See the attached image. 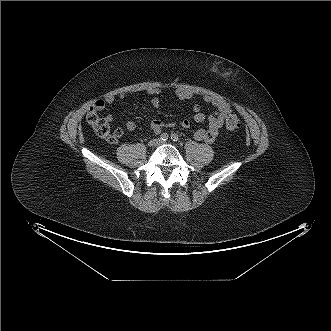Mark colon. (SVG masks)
Segmentation results:
<instances>
[{"label":"colon","mask_w":331,"mask_h":331,"mask_svg":"<svg viewBox=\"0 0 331 331\" xmlns=\"http://www.w3.org/2000/svg\"><path fill=\"white\" fill-rule=\"evenodd\" d=\"M87 122L100 138L108 142H114L121 135L119 130L112 131L110 125L94 111H90L87 114ZM240 127L241 122L239 118L234 114H230L226 119V128L230 131H237Z\"/></svg>","instance_id":"1"}]
</instances>
